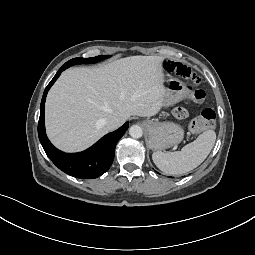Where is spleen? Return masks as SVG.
Wrapping results in <instances>:
<instances>
[{"label":"spleen","instance_id":"3e777b00","mask_svg":"<svg viewBox=\"0 0 255 255\" xmlns=\"http://www.w3.org/2000/svg\"><path fill=\"white\" fill-rule=\"evenodd\" d=\"M216 140V133L207 130L196 140L185 145L181 151L164 153L156 151L152 154L155 165L165 174L182 175L199 166L211 152Z\"/></svg>","mask_w":255,"mask_h":255}]
</instances>
